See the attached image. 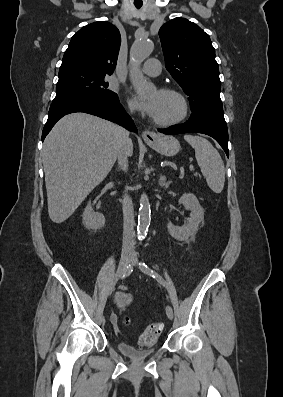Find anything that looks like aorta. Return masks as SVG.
I'll use <instances>...</instances> for the list:
<instances>
[{
  "label": "aorta",
  "mask_w": 283,
  "mask_h": 397,
  "mask_svg": "<svg viewBox=\"0 0 283 397\" xmlns=\"http://www.w3.org/2000/svg\"><path fill=\"white\" fill-rule=\"evenodd\" d=\"M153 49L152 43L146 40L135 42L130 50V77L135 91L142 97L152 93L155 87L148 83L142 74L138 72L140 64L151 54ZM151 206L146 193L140 197V208L138 213V235H146L151 221Z\"/></svg>",
  "instance_id": "obj_1"
}]
</instances>
